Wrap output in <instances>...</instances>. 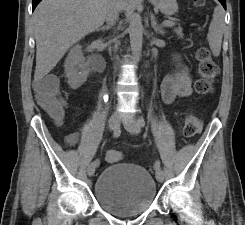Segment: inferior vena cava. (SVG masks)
I'll use <instances>...</instances> for the list:
<instances>
[{
	"label": "inferior vena cava",
	"mask_w": 245,
	"mask_h": 225,
	"mask_svg": "<svg viewBox=\"0 0 245 225\" xmlns=\"http://www.w3.org/2000/svg\"><path fill=\"white\" fill-rule=\"evenodd\" d=\"M119 6L117 0H109V3L106 7L105 19L108 24L113 25L119 16Z\"/></svg>",
	"instance_id": "1"
}]
</instances>
